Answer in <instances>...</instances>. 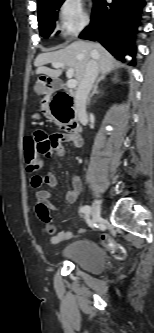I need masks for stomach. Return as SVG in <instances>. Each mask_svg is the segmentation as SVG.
I'll list each match as a JSON object with an SVG mask.
<instances>
[{
  "label": "stomach",
  "instance_id": "0dacf381",
  "mask_svg": "<svg viewBox=\"0 0 154 333\" xmlns=\"http://www.w3.org/2000/svg\"><path fill=\"white\" fill-rule=\"evenodd\" d=\"M34 90L37 94H44L47 92L48 90V87H47V84L38 80L35 87H34Z\"/></svg>",
  "mask_w": 154,
  "mask_h": 333
}]
</instances>
